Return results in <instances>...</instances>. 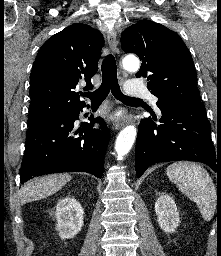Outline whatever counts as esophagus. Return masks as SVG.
Masks as SVG:
<instances>
[{"label":"esophagus","mask_w":221,"mask_h":256,"mask_svg":"<svg viewBox=\"0 0 221 256\" xmlns=\"http://www.w3.org/2000/svg\"><path fill=\"white\" fill-rule=\"evenodd\" d=\"M107 42L109 44L110 49L115 53L117 51V37L116 33L113 30L107 32ZM130 119H114L113 126L116 130H119L126 124H128Z\"/></svg>","instance_id":"esophagus-1"}]
</instances>
